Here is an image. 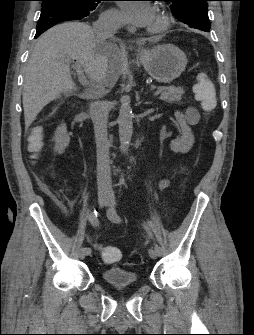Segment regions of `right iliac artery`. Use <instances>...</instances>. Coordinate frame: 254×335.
I'll return each mask as SVG.
<instances>
[{"label":"right iliac artery","instance_id":"82829eb1","mask_svg":"<svg viewBox=\"0 0 254 335\" xmlns=\"http://www.w3.org/2000/svg\"><path fill=\"white\" fill-rule=\"evenodd\" d=\"M89 221L94 227H99V220H98V215L96 210H92L89 213ZM86 255H91L92 250L89 247L85 248Z\"/></svg>","mask_w":254,"mask_h":335}]
</instances>
